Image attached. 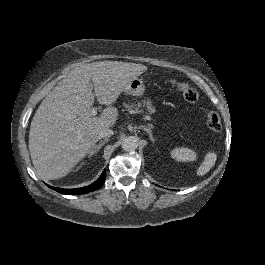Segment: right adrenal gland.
<instances>
[{
	"label": "right adrenal gland",
	"instance_id": "right-adrenal-gland-1",
	"mask_svg": "<svg viewBox=\"0 0 265 265\" xmlns=\"http://www.w3.org/2000/svg\"><path fill=\"white\" fill-rule=\"evenodd\" d=\"M109 139H110L109 136H107L105 139L99 140L98 144L92 145V148L89 151L88 155L91 157L92 155L98 153V151L102 148L104 144H106L109 141Z\"/></svg>",
	"mask_w": 265,
	"mask_h": 265
}]
</instances>
